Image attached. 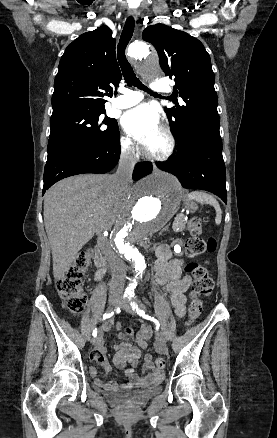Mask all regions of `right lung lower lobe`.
<instances>
[{"label": "right lung lower lobe", "mask_w": 277, "mask_h": 438, "mask_svg": "<svg viewBox=\"0 0 277 438\" xmlns=\"http://www.w3.org/2000/svg\"><path fill=\"white\" fill-rule=\"evenodd\" d=\"M120 156L119 135L112 142L90 148H79L63 152L47 159L44 170L43 194L57 181L82 173H107L112 171ZM150 162L136 164L133 179L148 175L151 172Z\"/></svg>", "instance_id": "98d812e1"}]
</instances>
